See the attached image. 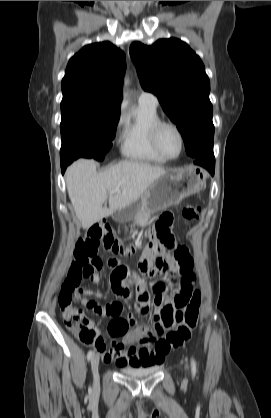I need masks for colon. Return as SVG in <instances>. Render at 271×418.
<instances>
[{
    "mask_svg": "<svg viewBox=\"0 0 271 418\" xmlns=\"http://www.w3.org/2000/svg\"><path fill=\"white\" fill-rule=\"evenodd\" d=\"M183 216L187 222L197 219L199 208L186 206L183 209ZM172 222V215L165 213L149 231L152 246L159 255L163 249L174 247V238L170 229ZM101 244L113 253L129 252L114 237L112 228L107 222L91 225L76 243L72 262L58 296L61 315L66 327L81 342L94 345L96 348L103 344L102 336L94 322L81 309L75 307L73 301L80 296L78 287L81 281L83 279L92 281L96 270L101 265L97 257ZM174 259L178 263L179 274L182 276L183 293L175 298V310L166 308L161 314L162 325L156 329V333L161 337L157 347L161 350L179 347L189 340L197 325L201 304V293L187 285L194 279L193 259L187 248L183 246L175 248ZM116 266L118 265H114L113 268Z\"/></svg>",
    "mask_w": 271,
    "mask_h": 418,
    "instance_id": "1",
    "label": "colon"
}]
</instances>
